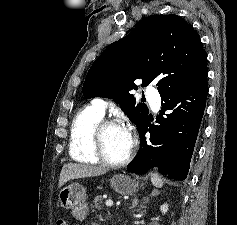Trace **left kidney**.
<instances>
[{
	"mask_svg": "<svg viewBox=\"0 0 237 225\" xmlns=\"http://www.w3.org/2000/svg\"><path fill=\"white\" fill-rule=\"evenodd\" d=\"M160 210L163 214H166L168 211V205L167 204H163L160 206Z\"/></svg>",
	"mask_w": 237,
	"mask_h": 225,
	"instance_id": "1",
	"label": "left kidney"
}]
</instances>
